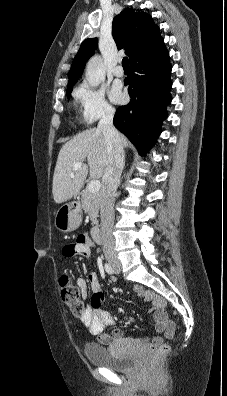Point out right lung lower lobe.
I'll use <instances>...</instances> for the list:
<instances>
[{
    "label": "right lung lower lobe",
    "instance_id": "obj_1",
    "mask_svg": "<svg viewBox=\"0 0 227 396\" xmlns=\"http://www.w3.org/2000/svg\"><path fill=\"white\" fill-rule=\"evenodd\" d=\"M130 65L131 74L125 85H129L131 101L118 108L114 126L144 154L160 135L166 107L171 102L172 67L164 40L141 51Z\"/></svg>",
    "mask_w": 227,
    "mask_h": 396
}]
</instances>
